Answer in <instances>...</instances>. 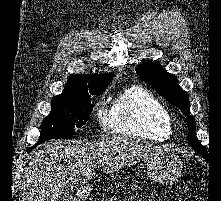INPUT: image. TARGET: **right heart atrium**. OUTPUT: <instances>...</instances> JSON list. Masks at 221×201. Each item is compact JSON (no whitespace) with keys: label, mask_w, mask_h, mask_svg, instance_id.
I'll return each instance as SVG.
<instances>
[{"label":"right heart atrium","mask_w":221,"mask_h":201,"mask_svg":"<svg viewBox=\"0 0 221 201\" xmlns=\"http://www.w3.org/2000/svg\"><path fill=\"white\" fill-rule=\"evenodd\" d=\"M95 114L100 128L103 131L108 130L109 128V112L104 106V103L98 102L95 106Z\"/></svg>","instance_id":"1"}]
</instances>
